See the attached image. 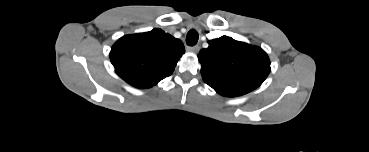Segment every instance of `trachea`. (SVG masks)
Here are the masks:
<instances>
[{
  "instance_id": "1",
  "label": "trachea",
  "mask_w": 369,
  "mask_h": 152,
  "mask_svg": "<svg viewBox=\"0 0 369 152\" xmlns=\"http://www.w3.org/2000/svg\"><path fill=\"white\" fill-rule=\"evenodd\" d=\"M198 38L197 31L194 29L190 30L186 36L187 45L194 46L198 42Z\"/></svg>"
}]
</instances>
